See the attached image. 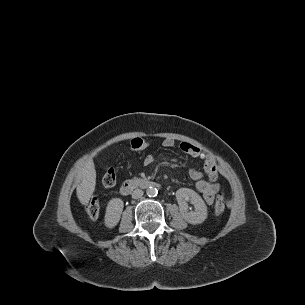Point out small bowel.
I'll return each instance as SVG.
<instances>
[{
    "mask_svg": "<svg viewBox=\"0 0 305 305\" xmlns=\"http://www.w3.org/2000/svg\"><path fill=\"white\" fill-rule=\"evenodd\" d=\"M175 145L173 138H165L162 142L164 148H172ZM180 150L192 157L200 158L203 161V171L191 169L189 171L190 177L196 181L195 187L199 193L202 194L204 201L207 204H212L219 190L216 183L218 178V168L213 156L202 148L195 146L189 142L180 143ZM154 162L152 155H147L144 158V164L150 165Z\"/></svg>",
    "mask_w": 305,
    "mask_h": 305,
    "instance_id": "small-bowel-1",
    "label": "small bowel"
}]
</instances>
